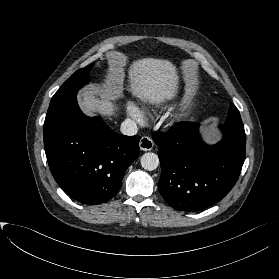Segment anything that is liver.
Here are the masks:
<instances>
[{
    "label": "liver",
    "instance_id": "obj_1",
    "mask_svg": "<svg viewBox=\"0 0 279 279\" xmlns=\"http://www.w3.org/2000/svg\"><path fill=\"white\" fill-rule=\"evenodd\" d=\"M128 66V90L143 102L159 106L172 99L178 90V69L168 60L143 58L131 64L123 60L111 61L108 88L99 91L87 89L81 94L80 107L87 115L113 116V100L122 89L125 68Z\"/></svg>",
    "mask_w": 279,
    "mask_h": 279
}]
</instances>
